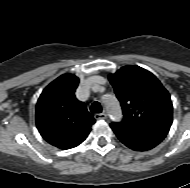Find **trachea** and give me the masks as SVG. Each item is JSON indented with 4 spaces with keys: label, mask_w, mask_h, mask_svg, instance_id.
I'll use <instances>...</instances> for the list:
<instances>
[{
    "label": "trachea",
    "mask_w": 190,
    "mask_h": 188,
    "mask_svg": "<svg viewBox=\"0 0 190 188\" xmlns=\"http://www.w3.org/2000/svg\"><path fill=\"white\" fill-rule=\"evenodd\" d=\"M90 111L93 113H101L102 112V107L99 102H94L92 103L90 107Z\"/></svg>",
    "instance_id": "trachea-1"
}]
</instances>
